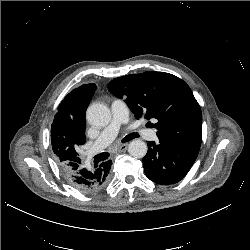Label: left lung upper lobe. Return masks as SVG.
Returning a JSON list of instances; mask_svg holds the SVG:
<instances>
[{"instance_id":"1","label":"left lung upper lobe","mask_w":250,"mask_h":250,"mask_svg":"<svg viewBox=\"0 0 250 250\" xmlns=\"http://www.w3.org/2000/svg\"><path fill=\"white\" fill-rule=\"evenodd\" d=\"M108 89L125 102L139 119H156L160 142L199 149L202 113L189 86L165 72L147 71L118 77ZM150 123V122H149Z\"/></svg>"}]
</instances>
